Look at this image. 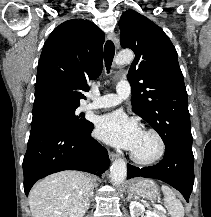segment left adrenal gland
Returning <instances> with one entry per match:
<instances>
[{"mask_svg": "<svg viewBox=\"0 0 211 217\" xmlns=\"http://www.w3.org/2000/svg\"><path fill=\"white\" fill-rule=\"evenodd\" d=\"M132 198H133V194L130 193V192H128V198H127V200H130V199H132Z\"/></svg>", "mask_w": 211, "mask_h": 217, "instance_id": "obj_1", "label": "left adrenal gland"}]
</instances>
